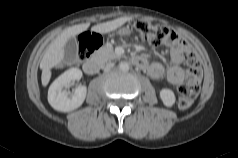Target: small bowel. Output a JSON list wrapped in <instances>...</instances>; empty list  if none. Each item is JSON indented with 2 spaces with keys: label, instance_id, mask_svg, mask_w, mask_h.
Instances as JSON below:
<instances>
[{
  "label": "small bowel",
  "instance_id": "small-bowel-1",
  "mask_svg": "<svg viewBox=\"0 0 238 158\" xmlns=\"http://www.w3.org/2000/svg\"><path fill=\"white\" fill-rule=\"evenodd\" d=\"M164 44L169 49L171 66L165 69L162 63L153 62L147 66L148 73L154 79H160L165 75L170 83L181 84L185 76L181 64L190 47L182 37L176 34L171 39L166 40Z\"/></svg>",
  "mask_w": 238,
  "mask_h": 158
}]
</instances>
